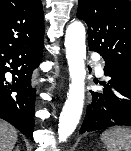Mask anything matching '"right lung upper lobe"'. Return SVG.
Returning <instances> with one entry per match:
<instances>
[{
    "mask_svg": "<svg viewBox=\"0 0 131 151\" xmlns=\"http://www.w3.org/2000/svg\"><path fill=\"white\" fill-rule=\"evenodd\" d=\"M41 0H0V46L19 47L43 42Z\"/></svg>",
    "mask_w": 131,
    "mask_h": 151,
    "instance_id": "cb5924a9",
    "label": "right lung upper lobe"
}]
</instances>
